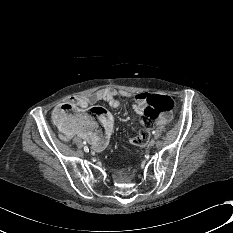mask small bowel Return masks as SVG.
Returning a JSON list of instances; mask_svg holds the SVG:
<instances>
[{
  "instance_id": "obj_1",
  "label": "small bowel",
  "mask_w": 233,
  "mask_h": 233,
  "mask_svg": "<svg viewBox=\"0 0 233 233\" xmlns=\"http://www.w3.org/2000/svg\"><path fill=\"white\" fill-rule=\"evenodd\" d=\"M140 93L144 92L133 94L128 91L118 89H102L95 93L73 97L67 103L71 104L74 107L76 114L87 109L92 105H95L100 101L106 102L111 108H118L120 106V98H126L133 101V109L137 114L142 115V112L136 109L134 103L136 96ZM58 108L55 109L53 117L56 115ZM166 121L167 119L161 118L158 121V124H163ZM100 122L103 126V132H98L96 128L87 129L80 127L76 124V121L70 123V126L68 127H60L56 124V122L55 124L58 127L63 139L70 140L73 136L78 135L86 139L91 144L94 151L101 152L107 149L110 145V139L113 134L114 123L112 116L108 120L101 119ZM124 155L127 161L133 163L139 160L141 154L138 148L132 146L126 149Z\"/></svg>"
}]
</instances>
